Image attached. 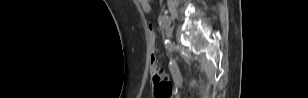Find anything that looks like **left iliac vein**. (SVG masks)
I'll return each mask as SVG.
<instances>
[{
    "instance_id": "left-iliac-vein-1",
    "label": "left iliac vein",
    "mask_w": 308,
    "mask_h": 98,
    "mask_svg": "<svg viewBox=\"0 0 308 98\" xmlns=\"http://www.w3.org/2000/svg\"><path fill=\"white\" fill-rule=\"evenodd\" d=\"M166 35L168 36V37H172V35H173V28L172 27H167L166 28Z\"/></svg>"
}]
</instances>
